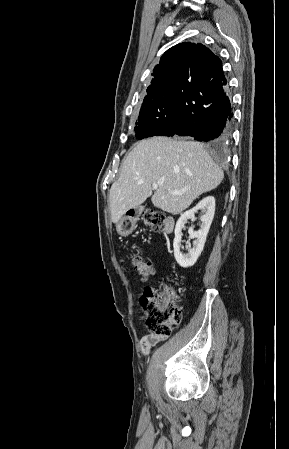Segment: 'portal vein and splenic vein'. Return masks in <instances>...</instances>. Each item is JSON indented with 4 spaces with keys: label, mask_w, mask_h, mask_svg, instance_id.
<instances>
[{
    "label": "portal vein and splenic vein",
    "mask_w": 289,
    "mask_h": 449,
    "mask_svg": "<svg viewBox=\"0 0 289 449\" xmlns=\"http://www.w3.org/2000/svg\"><path fill=\"white\" fill-rule=\"evenodd\" d=\"M160 184H161V183H154V184L152 185L153 190H156V189L159 187ZM170 193H172V194H174V195L182 194L181 191H170Z\"/></svg>",
    "instance_id": "1"
}]
</instances>
